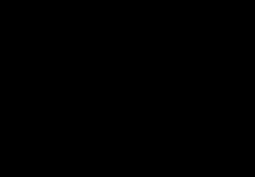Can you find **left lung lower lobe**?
<instances>
[{
	"label": "left lung lower lobe",
	"mask_w": 255,
	"mask_h": 177,
	"mask_svg": "<svg viewBox=\"0 0 255 177\" xmlns=\"http://www.w3.org/2000/svg\"><path fill=\"white\" fill-rule=\"evenodd\" d=\"M157 107L162 113L159 121L161 122V126L157 129V133L160 135H170L174 129V124L177 118L181 115L182 110L178 108V106L165 103L158 102ZM148 125L146 124V127Z\"/></svg>",
	"instance_id": "left-lung-lower-lobe-1"
}]
</instances>
